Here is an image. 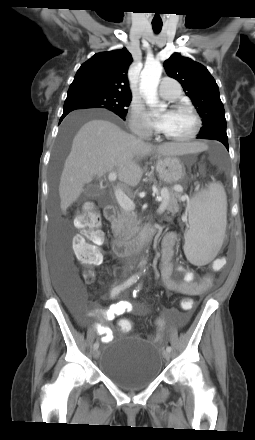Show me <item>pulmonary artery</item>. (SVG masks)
<instances>
[{
  "label": "pulmonary artery",
  "instance_id": "1",
  "mask_svg": "<svg viewBox=\"0 0 255 440\" xmlns=\"http://www.w3.org/2000/svg\"><path fill=\"white\" fill-rule=\"evenodd\" d=\"M159 94L166 100H176L181 94V89L175 79L165 77L160 83Z\"/></svg>",
  "mask_w": 255,
  "mask_h": 440
}]
</instances>
